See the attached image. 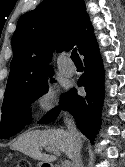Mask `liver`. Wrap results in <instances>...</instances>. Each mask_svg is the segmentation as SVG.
Instances as JSON below:
<instances>
[{
	"instance_id": "liver-1",
	"label": "liver",
	"mask_w": 125,
	"mask_h": 167,
	"mask_svg": "<svg viewBox=\"0 0 125 167\" xmlns=\"http://www.w3.org/2000/svg\"><path fill=\"white\" fill-rule=\"evenodd\" d=\"M42 147H54L62 151L69 159L73 158V142L68 131L62 129L34 130L21 135L11 146L29 157L52 162L56 156L42 153Z\"/></svg>"
}]
</instances>
